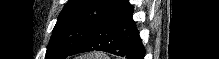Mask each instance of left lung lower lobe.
<instances>
[{
	"instance_id": "0a47b994",
	"label": "left lung lower lobe",
	"mask_w": 219,
	"mask_h": 59,
	"mask_svg": "<svg viewBox=\"0 0 219 59\" xmlns=\"http://www.w3.org/2000/svg\"><path fill=\"white\" fill-rule=\"evenodd\" d=\"M132 15L128 0H111L93 32L70 55L98 50L127 59H144L145 49Z\"/></svg>"
}]
</instances>
